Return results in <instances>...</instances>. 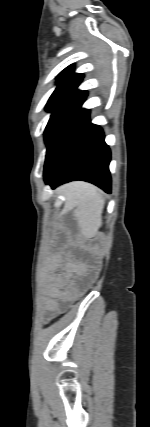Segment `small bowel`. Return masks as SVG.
I'll use <instances>...</instances> for the list:
<instances>
[{
  "instance_id": "small-bowel-1",
  "label": "small bowel",
  "mask_w": 150,
  "mask_h": 427,
  "mask_svg": "<svg viewBox=\"0 0 150 427\" xmlns=\"http://www.w3.org/2000/svg\"><path fill=\"white\" fill-rule=\"evenodd\" d=\"M67 275H55L48 272L45 277V318L50 319L63 311L67 304L77 295L80 285H72L66 289ZM83 282L81 285H84Z\"/></svg>"
}]
</instances>
